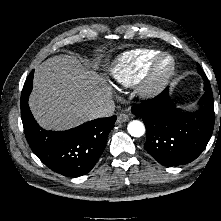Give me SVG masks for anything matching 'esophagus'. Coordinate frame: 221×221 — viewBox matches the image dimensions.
<instances>
[{
  "instance_id": "obj_1",
  "label": "esophagus",
  "mask_w": 221,
  "mask_h": 221,
  "mask_svg": "<svg viewBox=\"0 0 221 221\" xmlns=\"http://www.w3.org/2000/svg\"><path fill=\"white\" fill-rule=\"evenodd\" d=\"M129 120V116L127 114H120L117 118L118 123H124Z\"/></svg>"
}]
</instances>
